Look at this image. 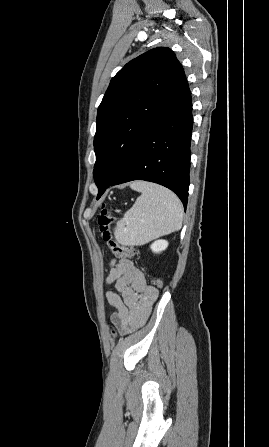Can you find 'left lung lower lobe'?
Instances as JSON below:
<instances>
[{
  "label": "left lung lower lobe",
  "instance_id": "left-lung-lower-lobe-1",
  "mask_svg": "<svg viewBox=\"0 0 269 447\" xmlns=\"http://www.w3.org/2000/svg\"><path fill=\"white\" fill-rule=\"evenodd\" d=\"M192 125L191 93L183 71L164 115L146 132L119 176L109 185L98 188V198L111 185L145 180L175 192L186 208Z\"/></svg>",
  "mask_w": 269,
  "mask_h": 447
}]
</instances>
